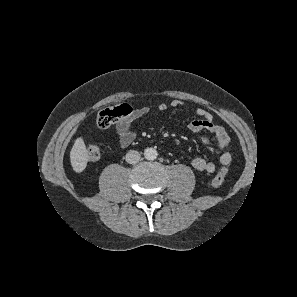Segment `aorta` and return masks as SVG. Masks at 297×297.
<instances>
[{
    "label": "aorta",
    "instance_id": "aorta-1",
    "mask_svg": "<svg viewBox=\"0 0 297 297\" xmlns=\"http://www.w3.org/2000/svg\"><path fill=\"white\" fill-rule=\"evenodd\" d=\"M144 156L147 160H154L157 158L158 153L155 148H146L144 151Z\"/></svg>",
    "mask_w": 297,
    "mask_h": 297
}]
</instances>
